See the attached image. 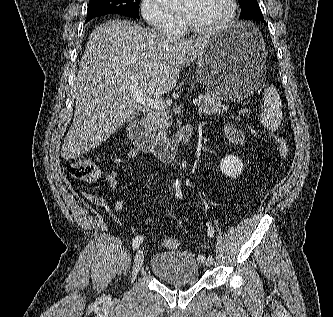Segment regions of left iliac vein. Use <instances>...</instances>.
Here are the masks:
<instances>
[{
  "label": "left iliac vein",
  "instance_id": "left-iliac-vein-1",
  "mask_svg": "<svg viewBox=\"0 0 333 317\" xmlns=\"http://www.w3.org/2000/svg\"><path fill=\"white\" fill-rule=\"evenodd\" d=\"M205 264L207 266H212L214 264V258L213 256H209L206 260H205Z\"/></svg>",
  "mask_w": 333,
  "mask_h": 317
}]
</instances>
